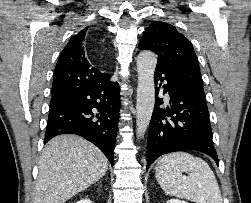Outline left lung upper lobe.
Masks as SVG:
<instances>
[{"label":"left lung upper lobe","instance_id":"1","mask_svg":"<svg viewBox=\"0 0 251 203\" xmlns=\"http://www.w3.org/2000/svg\"><path fill=\"white\" fill-rule=\"evenodd\" d=\"M158 55L157 66L170 69L182 76L199 93L204 95L203 81L197 56L191 42L171 24L154 21L145 30L139 43Z\"/></svg>","mask_w":251,"mask_h":203}]
</instances>
